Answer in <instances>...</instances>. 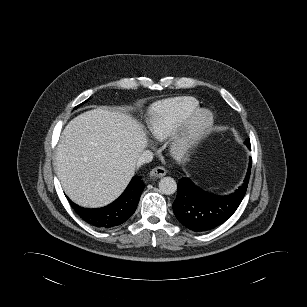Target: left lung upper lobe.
<instances>
[{"mask_svg":"<svg viewBox=\"0 0 307 307\" xmlns=\"http://www.w3.org/2000/svg\"><path fill=\"white\" fill-rule=\"evenodd\" d=\"M245 144H246L247 146H250V140L247 139V140L245 141Z\"/></svg>","mask_w":307,"mask_h":307,"instance_id":"left-lung-upper-lobe-1","label":"left lung upper lobe"}]
</instances>
